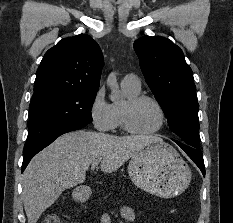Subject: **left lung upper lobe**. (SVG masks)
<instances>
[{"instance_id":"left-lung-upper-lobe-1","label":"left lung upper lobe","mask_w":233,"mask_h":223,"mask_svg":"<svg viewBox=\"0 0 233 223\" xmlns=\"http://www.w3.org/2000/svg\"><path fill=\"white\" fill-rule=\"evenodd\" d=\"M141 70L162 107L169 128L185 143L200 147L198 101L191 68L169 39L144 36L134 42Z\"/></svg>"}]
</instances>
